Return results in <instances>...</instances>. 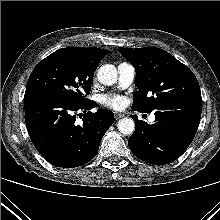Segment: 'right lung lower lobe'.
Segmentation results:
<instances>
[{"label":"right lung lower lobe","mask_w":220,"mask_h":220,"mask_svg":"<svg viewBox=\"0 0 220 220\" xmlns=\"http://www.w3.org/2000/svg\"><path fill=\"white\" fill-rule=\"evenodd\" d=\"M93 100L76 104L62 97L25 93V122L38 152L52 165L74 168L91 161L97 154L105 132L114 122V114L105 109L95 113ZM83 111V125L75 123L76 111Z\"/></svg>","instance_id":"98d812e1"}]
</instances>
